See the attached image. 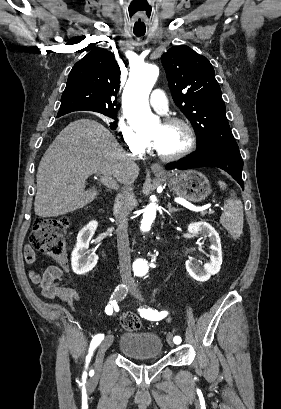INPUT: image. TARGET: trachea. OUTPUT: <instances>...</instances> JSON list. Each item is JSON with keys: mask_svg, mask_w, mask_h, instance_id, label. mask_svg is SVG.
Returning a JSON list of instances; mask_svg holds the SVG:
<instances>
[{"mask_svg": "<svg viewBox=\"0 0 281 409\" xmlns=\"http://www.w3.org/2000/svg\"><path fill=\"white\" fill-rule=\"evenodd\" d=\"M134 34L136 35V37H143V35L145 34V32H141V33H135V32H134Z\"/></svg>", "mask_w": 281, "mask_h": 409, "instance_id": "trachea-1", "label": "trachea"}]
</instances>
